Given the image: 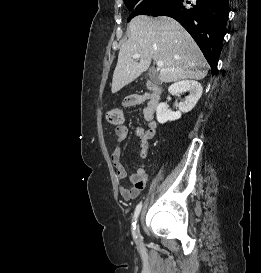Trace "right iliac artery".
<instances>
[{"label": "right iliac artery", "mask_w": 261, "mask_h": 273, "mask_svg": "<svg viewBox=\"0 0 261 273\" xmlns=\"http://www.w3.org/2000/svg\"><path fill=\"white\" fill-rule=\"evenodd\" d=\"M142 208V203H139L135 209L134 212V217H133V222H132V234L134 239H137V235H136V222H137V218L139 216V213L141 211Z\"/></svg>", "instance_id": "82829eb1"}]
</instances>
